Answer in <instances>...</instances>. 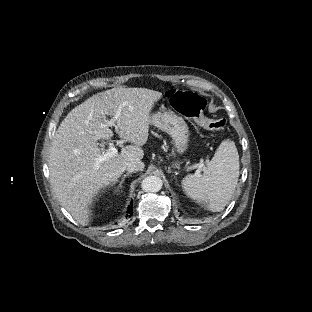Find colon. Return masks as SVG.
<instances>
[{
    "label": "colon",
    "instance_id": "5ec220e1",
    "mask_svg": "<svg viewBox=\"0 0 312 312\" xmlns=\"http://www.w3.org/2000/svg\"><path fill=\"white\" fill-rule=\"evenodd\" d=\"M169 104L175 111L192 118L204 129L223 131L227 127L225 119L204 116L206 102L199 94L173 90L169 95Z\"/></svg>",
    "mask_w": 312,
    "mask_h": 312
}]
</instances>
